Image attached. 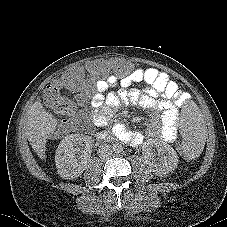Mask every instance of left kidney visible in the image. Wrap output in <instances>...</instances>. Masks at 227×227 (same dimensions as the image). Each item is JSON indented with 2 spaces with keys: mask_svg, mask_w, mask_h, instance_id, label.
<instances>
[{
  "mask_svg": "<svg viewBox=\"0 0 227 227\" xmlns=\"http://www.w3.org/2000/svg\"><path fill=\"white\" fill-rule=\"evenodd\" d=\"M155 150L158 152L157 155ZM143 156L152 172L161 177L174 171L179 161L176 151L158 139H149L145 143Z\"/></svg>",
  "mask_w": 227,
  "mask_h": 227,
  "instance_id": "left-kidney-1",
  "label": "left kidney"
}]
</instances>
